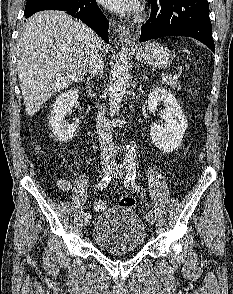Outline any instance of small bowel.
<instances>
[{
    "label": "small bowel",
    "instance_id": "obj_1",
    "mask_svg": "<svg viewBox=\"0 0 233 294\" xmlns=\"http://www.w3.org/2000/svg\"><path fill=\"white\" fill-rule=\"evenodd\" d=\"M59 187L65 191V192H68L71 190L72 186H71V183L68 181V180H60L59 181ZM95 206H104V203L103 202H97L95 204Z\"/></svg>",
    "mask_w": 233,
    "mask_h": 294
}]
</instances>
